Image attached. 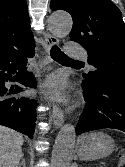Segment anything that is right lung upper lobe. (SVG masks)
<instances>
[{
	"instance_id": "right-lung-upper-lobe-1",
	"label": "right lung upper lobe",
	"mask_w": 125,
	"mask_h": 167,
	"mask_svg": "<svg viewBox=\"0 0 125 167\" xmlns=\"http://www.w3.org/2000/svg\"><path fill=\"white\" fill-rule=\"evenodd\" d=\"M34 43L26 0H0V55Z\"/></svg>"
}]
</instances>
